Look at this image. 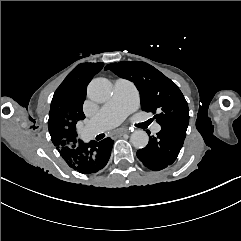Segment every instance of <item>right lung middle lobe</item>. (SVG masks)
I'll return each mask as SVG.
<instances>
[{
	"mask_svg": "<svg viewBox=\"0 0 241 241\" xmlns=\"http://www.w3.org/2000/svg\"><path fill=\"white\" fill-rule=\"evenodd\" d=\"M103 66V63H82L76 66L55 91L51 105L62 114L68 113L74 97L86 91L93 76Z\"/></svg>",
	"mask_w": 241,
	"mask_h": 241,
	"instance_id": "1",
	"label": "right lung middle lobe"
}]
</instances>
